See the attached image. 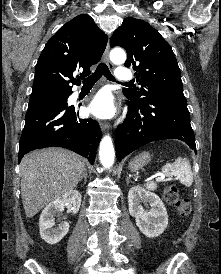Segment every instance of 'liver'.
<instances>
[{
  "instance_id": "1",
  "label": "liver",
  "mask_w": 221,
  "mask_h": 274,
  "mask_svg": "<svg viewBox=\"0 0 221 274\" xmlns=\"http://www.w3.org/2000/svg\"><path fill=\"white\" fill-rule=\"evenodd\" d=\"M84 159L62 148H46L25 155L20 164L21 197L28 218L45 205L72 191L84 172Z\"/></svg>"
}]
</instances>
